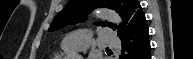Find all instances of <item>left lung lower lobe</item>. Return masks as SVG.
<instances>
[{"label": "left lung lower lobe", "mask_w": 193, "mask_h": 59, "mask_svg": "<svg viewBox=\"0 0 193 59\" xmlns=\"http://www.w3.org/2000/svg\"><path fill=\"white\" fill-rule=\"evenodd\" d=\"M119 38L123 49L121 59H151L149 32L143 12L136 13L132 17Z\"/></svg>", "instance_id": "left-lung-lower-lobe-1"}]
</instances>
